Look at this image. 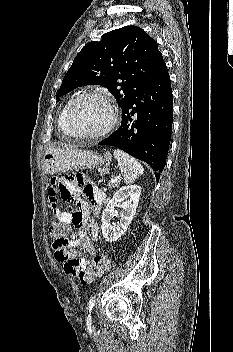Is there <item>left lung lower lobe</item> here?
I'll use <instances>...</instances> for the list:
<instances>
[{
  "label": "left lung lower lobe",
  "mask_w": 233,
  "mask_h": 352,
  "mask_svg": "<svg viewBox=\"0 0 233 352\" xmlns=\"http://www.w3.org/2000/svg\"><path fill=\"white\" fill-rule=\"evenodd\" d=\"M121 126L99 145L120 148L145 161L160 178L172 132L173 98L167 68L122 109Z\"/></svg>",
  "instance_id": "0a47b994"
}]
</instances>
